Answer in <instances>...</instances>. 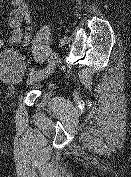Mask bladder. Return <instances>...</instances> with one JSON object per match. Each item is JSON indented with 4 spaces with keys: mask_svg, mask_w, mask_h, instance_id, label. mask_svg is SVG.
Segmentation results:
<instances>
[{
    "mask_svg": "<svg viewBox=\"0 0 131 177\" xmlns=\"http://www.w3.org/2000/svg\"><path fill=\"white\" fill-rule=\"evenodd\" d=\"M26 74L25 65L21 57L13 50H5L0 53V75L5 79L6 85L14 89L19 88V83ZM51 82L41 83L40 91L44 94L53 92Z\"/></svg>",
    "mask_w": 131,
    "mask_h": 177,
    "instance_id": "1",
    "label": "bladder"
}]
</instances>
